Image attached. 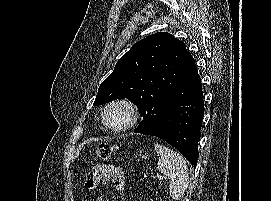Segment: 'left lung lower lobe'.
<instances>
[{"instance_id":"left-lung-lower-lobe-1","label":"left lung lower lobe","mask_w":271,"mask_h":201,"mask_svg":"<svg viewBox=\"0 0 271 201\" xmlns=\"http://www.w3.org/2000/svg\"><path fill=\"white\" fill-rule=\"evenodd\" d=\"M203 115L201 80L195 60L186 50L181 82L164 110L161 129L151 136L163 139L175 147L195 167L199 156L198 142ZM134 132L146 134V129L139 125Z\"/></svg>"}]
</instances>
